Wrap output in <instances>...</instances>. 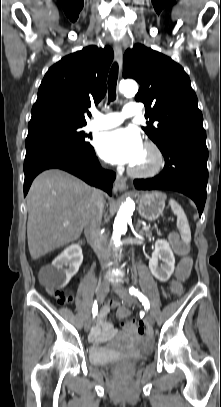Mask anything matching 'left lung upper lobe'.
<instances>
[{"mask_svg":"<svg viewBox=\"0 0 221 407\" xmlns=\"http://www.w3.org/2000/svg\"><path fill=\"white\" fill-rule=\"evenodd\" d=\"M123 77L140 84L135 100L144 103L152 122L158 121L156 126L149 122L142 129L158 147L176 129H203L202 113L190 79L170 57L136 44L124 54Z\"/></svg>","mask_w":221,"mask_h":407,"instance_id":"1","label":"left lung upper lobe"}]
</instances>
